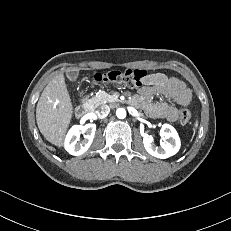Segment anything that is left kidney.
Returning a JSON list of instances; mask_svg holds the SVG:
<instances>
[{
	"instance_id": "obj_1",
	"label": "left kidney",
	"mask_w": 231,
	"mask_h": 231,
	"mask_svg": "<svg viewBox=\"0 0 231 231\" xmlns=\"http://www.w3.org/2000/svg\"><path fill=\"white\" fill-rule=\"evenodd\" d=\"M161 135L165 141L161 143V148L157 147L153 142V137L146 133L143 134V144L146 151L160 159H165L175 155L180 149V138L175 128L169 124H163L161 127Z\"/></svg>"
}]
</instances>
